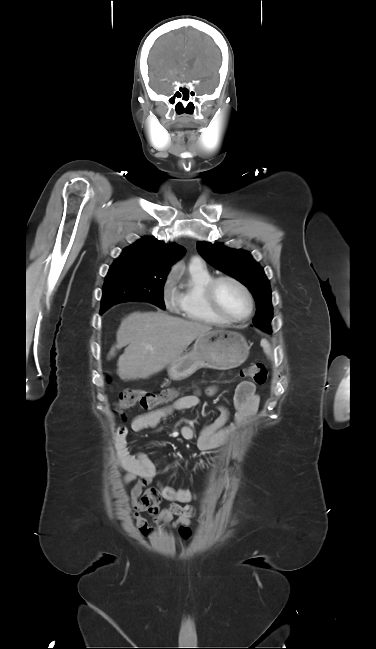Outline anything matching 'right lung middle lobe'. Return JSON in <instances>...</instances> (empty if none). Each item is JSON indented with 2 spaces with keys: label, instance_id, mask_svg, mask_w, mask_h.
<instances>
[{
  "label": "right lung middle lobe",
  "instance_id": "dd1d6c3e",
  "mask_svg": "<svg viewBox=\"0 0 376 649\" xmlns=\"http://www.w3.org/2000/svg\"><path fill=\"white\" fill-rule=\"evenodd\" d=\"M168 272H149L134 260L116 259L105 278L101 311L125 301H146L165 309L163 287Z\"/></svg>",
  "mask_w": 376,
  "mask_h": 649
}]
</instances>
